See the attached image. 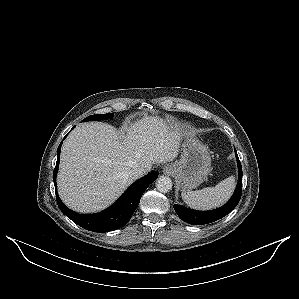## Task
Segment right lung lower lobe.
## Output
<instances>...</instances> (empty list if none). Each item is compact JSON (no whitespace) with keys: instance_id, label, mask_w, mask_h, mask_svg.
I'll return each instance as SVG.
<instances>
[{"instance_id":"1","label":"right lung lower lobe","mask_w":299,"mask_h":299,"mask_svg":"<svg viewBox=\"0 0 299 299\" xmlns=\"http://www.w3.org/2000/svg\"><path fill=\"white\" fill-rule=\"evenodd\" d=\"M62 142L57 149V162L53 173L55 188H57L56 175L58 172ZM157 177L158 173L152 172L137 180L123 193V195L113 205L100 213L78 214L67 208L60 200L56 192L57 204L60 210L68 218H70L77 225L89 231L99 233L113 231L125 226L128 223L140 202L142 194L147 189V187L156 180Z\"/></svg>"}]
</instances>
